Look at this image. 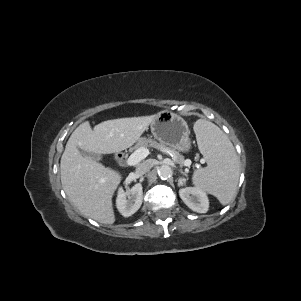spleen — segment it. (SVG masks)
<instances>
[{
  "label": "spleen",
  "mask_w": 301,
  "mask_h": 301,
  "mask_svg": "<svg viewBox=\"0 0 301 301\" xmlns=\"http://www.w3.org/2000/svg\"><path fill=\"white\" fill-rule=\"evenodd\" d=\"M194 130L207 167L194 172L193 184L226 205L234 198L239 180V160L235 149L223 131L212 122L197 120Z\"/></svg>",
  "instance_id": "obj_1"
}]
</instances>
